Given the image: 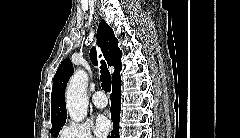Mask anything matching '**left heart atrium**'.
I'll list each match as a JSON object with an SVG mask.
<instances>
[{
    "instance_id": "left-heart-atrium-1",
    "label": "left heart atrium",
    "mask_w": 240,
    "mask_h": 138,
    "mask_svg": "<svg viewBox=\"0 0 240 138\" xmlns=\"http://www.w3.org/2000/svg\"><path fill=\"white\" fill-rule=\"evenodd\" d=\"M110 121L104 115H99L94 124V130L97 136L103 137L105 136L110 130Z\"/></svg>"
}]
</instances>
